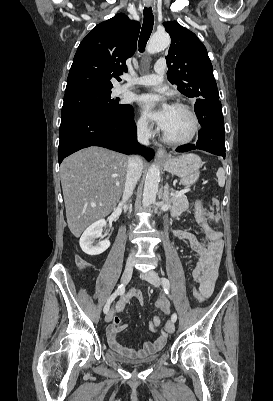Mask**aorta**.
<instances>
[{
  "label": "aorta",
  "mask_w": 273,
  "mask_h": 401,
  "mask_svg": "<svg viewBox=\"0 0 273 401\" xmlns=\"http://www.w3.org/2000/svg\"><path fill=\"white\" fill-rule=\"evenodd\" d=\"M171 39L165 32H157L151 37L147 51L154 54L166 49L170 45ZM160 182V170L157 165H152L146 174L142 204L144 207L150 206L155 200Z\"/></svg>",
  "instance_id": "1"
}]
</instances>
